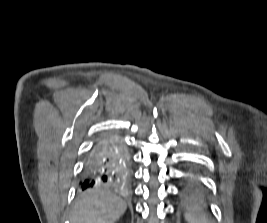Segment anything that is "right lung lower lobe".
Listing matches in <instances>:
<instances>
[{
  "label": "right lung lower lobe",
  "mask_w": 267,
  "mask_h": 223,
  "mask_svg": "<svg viewBox=\"0 0 267 223\" xmlns=\"http://www.w3.org/2000/svg\"><path fill=\"white\" fill-rule=\"evenodd\" d=\"M131 164L122 141L113 135L101 138L93 147L84 167L80 188L111 186L125 189L131 179Z\"/></svg>",
  "instance_id": "obj_1"
}]
</instances>
